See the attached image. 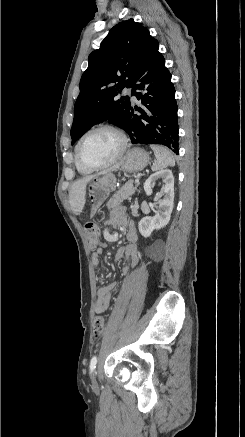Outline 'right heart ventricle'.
I'll return each mask as SVG.
<instances>
[{
    "mask_svg": "<svg viewBox=\"0 0 245 437\" xmlns=\"http://www.w3.org/2000/svg\"><path fill=\"white\" fill-rule=\"evenodd\" d=\"M75 167H76L77 171L82 175L90 174L93 171L92 169L84 167L82 164H80V162L77 160L76 156H75Z\"/></svg>",
    "mask_w": 245,
    "mask_h": 437,
    "instance_id": "1",
    "label": "right heart ventricle"
}]
</instances>
